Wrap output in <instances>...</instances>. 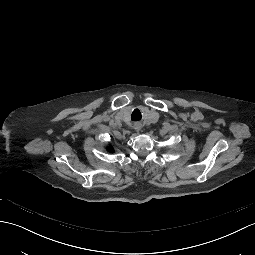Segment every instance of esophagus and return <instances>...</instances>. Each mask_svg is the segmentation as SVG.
Wrapping results in <instances>:
<instances>
[{"mask_svg":"<svg viewBox=\"0 0 255 255\" xmlns=\"http://www.w3.org/2000/svg\"><path fill=\"white\" fill-rule=\"evenodd\" d=\"M134 128H135L136 131H140L141 128H142V125H141L140 123H136V124L134 125Z\"/></svg>","mask_w":255,"mask_h":255,"instance_id":"1","label":"esophagus"}]
</instances>
